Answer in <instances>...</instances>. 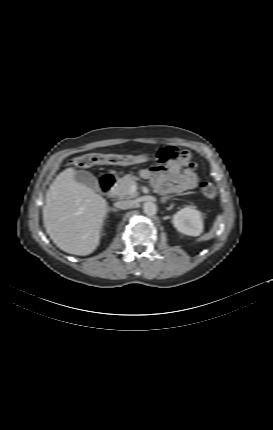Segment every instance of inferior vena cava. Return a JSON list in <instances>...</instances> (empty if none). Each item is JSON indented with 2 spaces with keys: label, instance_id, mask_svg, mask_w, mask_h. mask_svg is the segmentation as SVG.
I'll list each match as a JSON object with an SVG mask.
<instances>
[{
  "label": "inferior vena cava",
  "instance_id": "obj_1",
  "mask_svg": "<svg viewBox=\"0 0 273 430\" xmlns=\"http://www.w3.org/2000/svg\"><path fill=\"white\" fill-rule=\"evenodd\" d=\"M114 205H115V207L123 209V210L129 209L133 206V204L130 200H121V201L116 202Z\"/></svg>",
  "mask_w": 273,
  "mask_h": 430
}]
</instances>
